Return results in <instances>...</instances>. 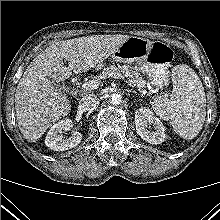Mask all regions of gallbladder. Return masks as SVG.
<instances>
[{
	"label": "gallbladder",
	"mask_w": 220,
	"mask_h": 220,
	"mask_svg": "<svg viewBox=\"0 0 220 220\" xmlns=\"http://www.w3.org/2000/svg\"><path fill=\"white\" fill-rule=\"evenodd\" d=\"M55 87L58 88V90H60V92H65L66 88L64 85H60V84H57V83H54Z\"/></svg>",
	"instance_id": "obj_1"
}]
</instances>
